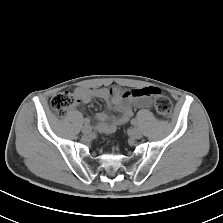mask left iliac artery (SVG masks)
<instances>
[{
	"mask_svg": "<svg viewBox=\"0 0 223 223\" xmlns=\"http://www.w3.org/2000/svg\"><path fill=\"white\" fill-rule=\"evenodd\" d=\"M131 124L134 125V126H136V125L138 124V122H137L136 119H132V120H131Z\"/></svg>",
	"mask_w": 223,
	"mask_h": 223,
	"instance_id": "44dca946",
	"label": "left iliac artery"
}]
</instances>
